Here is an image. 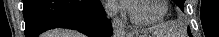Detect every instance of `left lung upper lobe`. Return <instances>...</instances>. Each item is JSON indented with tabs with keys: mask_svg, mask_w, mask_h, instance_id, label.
I'll use <instances>...</instances> for the list:
<instances>
[{
	"mask_svg": "<svg viewBox=\"0 0 219 37\" xmlns=\"http://www.w3.org/2000/svg\"><path fill=\"white\" fill-rule=\"evenodd\" d=\"M179 7L180 9L183 11V5H184V1L185 0H173ZM188 33L189 35L191 34L190 29L188 28Z\"/></svg>",
	"mask_w": 219,
	"mask_h": 37,
	"instance_id": "left-lung-upper-lobe-1",
	"label": "left lung upper lobe"
}]
</instances>
